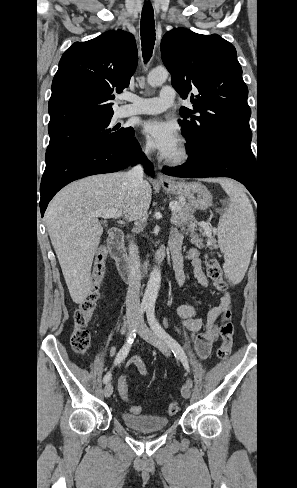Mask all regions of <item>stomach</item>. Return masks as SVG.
<instances>
[{
	"instance_id": "0dacf381",
	"label": "stomach",
	"mask_w": 297,
	"mask_h": 488,
	"mask_svg": "<svg viewBox=\"0 0 297 488\" xmlns=\"http://www.w3.org/2000/svg\"><path fill=\"white\" fill-rule=\"evenodd\" d=\"M163 189L170 194L187 201L192 207L206 210L212 205L213 197L209 190L200 182H170L162 184Z\"/></svg>"
}]
</instances>
